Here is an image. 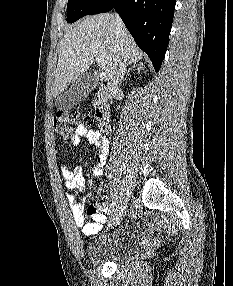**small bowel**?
<instances>
[{
	"mask_svg": "<svg viewBox=\"0 0 233 286\" xmlns=\"http://www.w3.org/2000/svg\"><path fill=\"white\" fill-rule=\"evenodd\" d=\"M83 138L97 149V161L92 166L91 173L94 176H100L104 170L109 142L99 131L90 129L85 124H80L76 128L74 136L69 140L67 147L72 148L80 145ZM60 170L64 185L68 190L75 191L85 188V176L80 167L68 168L62 165ZM67 201L71 207L75 226L81 228L86 236L96 234L105 222V213L108 208L106 199L99 198L87 207V213L90 216L89 222L85 221V201H78L73 194L67 195Z\"/></svg>",
	"mask_w": 233,
	"mask_h": 286,
	"instance_id": "small-bowel-1",
	"label": "small bowel"
}]
</instances>
